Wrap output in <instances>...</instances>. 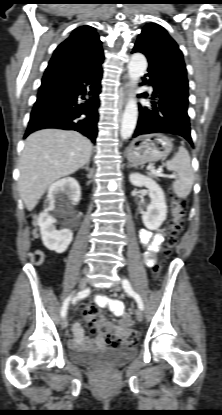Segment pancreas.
Returning <instances> with one entry per match:
<instances>
[{
    "label": "pancreas",
    "instance_id": "cf45deb5",
    "mask_svg": "<svg viewBox=\"0 0 222 415\" xmlns=\"http://www.w3.org/2000/svg\"><path fill=\"white\" fill-rule=\"evenodd\" d=\"M150 177H152V178H157V177H159L161 174L160 173H149L148 174Z\"/></svg>",
    "mask_w": 222,
    "mask_h": 415
}]
</instances>
